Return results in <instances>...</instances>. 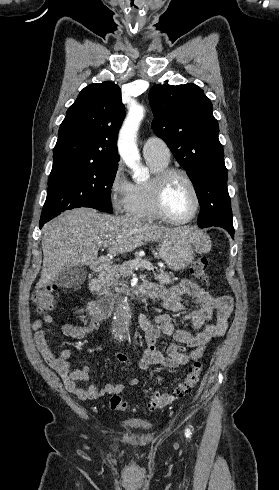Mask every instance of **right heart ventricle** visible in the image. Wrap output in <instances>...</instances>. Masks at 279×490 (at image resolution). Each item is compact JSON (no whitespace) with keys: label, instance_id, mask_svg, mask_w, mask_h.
<instances>
[{"label":"right heart ventricle","instance_id":"right-heart-ventricle-1","mask_svg":"<svg viewBox=\"0 0 279 490\" xmlns=\"http://www.w3.org/2000/svg\"><path fill=\"white\" fill-rule=\"evenodd\" d=\"M154 176L144 183L134 185L133 202L128 211V216L138 220L161 219L154 208L153 195L156 175L168 167V161L158 159H146Z\"/></svg>","mask_w":279,"mask_h":490}]
</instances>
